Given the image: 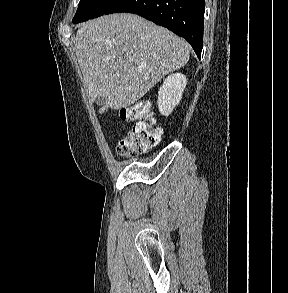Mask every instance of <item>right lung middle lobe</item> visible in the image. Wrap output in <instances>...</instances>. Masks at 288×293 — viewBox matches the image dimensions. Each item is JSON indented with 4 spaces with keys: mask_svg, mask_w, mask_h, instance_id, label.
Returning <instances> with one entry per match:
<instances>
[{
    "mask_svg": "<svg viewBox=\"0 0 288 293\" xmlns=\"http://www.w3.org/2000/svg\"><path fill=\"white\" fill-rule=\"evenodd\" d=\"M119 1L120 0H80L72 22L76 24L101 16Z\"/></svg>",
    "mask_w": 288,
    "mask_h": 293,
    "instance_id": "obj_1",
    "label": "right lung middle lobe"
}]
</instances>
